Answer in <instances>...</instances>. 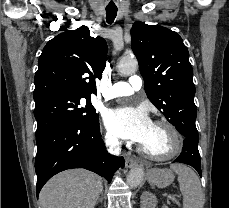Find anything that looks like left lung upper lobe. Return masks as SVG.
I'll list each match as a JSON object with an SVG mask.
<instances>
[{"label": "left lung upper lobe", "instance_id": "5c2ea615", "mask_svg": "<svg viewBox=\"0 0 229 208\" xmlns=\"http://www.w3.org/2000/svg\"><path fill=\"white\" fill-rule=\"evenodd\" d=\"M131 47L149 100L184 137L187 129L197 130L193 71L179 34L138 21L131 29Z\"/></svg>", "mask_w": 229, "mask_h": 208}]
</instances>
